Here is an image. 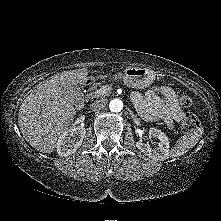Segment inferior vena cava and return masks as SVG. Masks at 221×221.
Returning a JSON list of instances; mask_svg holds the SVG:
<instances>
[{"mask_svg": "<svg viewBox=\"0 0 221 221\" xmlns=\"http://www.w3.org/2000/svg\"><path fill=\"white\" fill-rule=\"evenodd\" d=\"M105 104H106L105 100H103V99L97 100L90 105V109L95 112L100 109H103L105 107Z\"/></svg>", "mask_w": 221, "mask_h": 221, "instance_id": "602c4592", "label": "inferior vena cava"}]
</instances>
